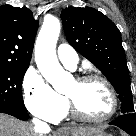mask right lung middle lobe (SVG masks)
<instances>
[{"instance_id": "dd1d6c3e", "label": "right lung middle lobe", "mask_w": 136, "mask_h": 136, "mask_svg": "<svg viewBox=\"0 0 136 136\" xmlns=\"http://www.w3.org/2000/svg\"><path fill=\"white\" fill-rule=\"evenodd\" d=\"M28 66H0V109L27 111L21 84Z\"/></svg>"}]
</instances>
